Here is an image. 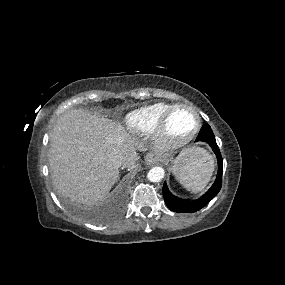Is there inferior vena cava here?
Segmentation results:
<instances>
[{
    "mask_svg": "<svg viewBox=\"0 0 285 285\" xmlns=\"http://www.w3.org/2000/svg\"><path fill=\"white\" fill-rule=\"evenodd\" d=\"M112 161L119 167L124 165V159L120 155L113 156Z\"/></svg>",
    "mask_w": 285,
    "mask_h": 285,
    "instance_id": "1",
    "label": "inferior vena cava"
}]
</instances>
